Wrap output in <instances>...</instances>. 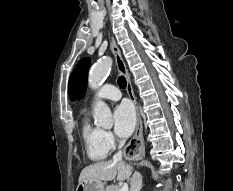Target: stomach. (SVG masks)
<instances>
[{"label": "stomach", "mask_w": 233, "mask_h": 191, "mask_svg": "<svg viewBox=\"0 0 233 191\" xmlns=\"http://www.w3.org/2000/svg\"><path fill=\"white\" fill-rule=\"evenodd\" d=\"M76 191H106L102 181H86L79 183Z\"/></svg>", "instance_id": "1"}]
</instances>
